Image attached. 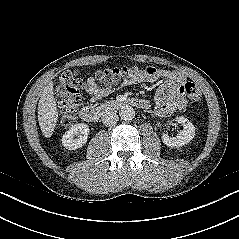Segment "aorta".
Segmentation results:
<instances>
[{
  "label": "aorta",
  "mask_w": 239,
  "mask_h": 239,
  "mask_svg": "<svg viewBox=\"0 0 239 239\" xmlns=\"http://www.w3.org/2000/svg\"><path fill=\"white\" fill-rule=\"evenodd\" d=\"M122 120L131 121L135 117V110L131 106H123L119 112Z\"/></svg>",
  "instance_id": "762f6f07"
}]
</instances>
